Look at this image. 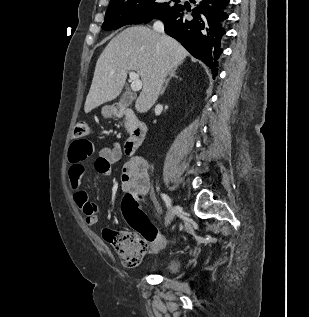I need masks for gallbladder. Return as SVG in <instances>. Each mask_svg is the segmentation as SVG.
Here are the masks:
<instances>
[{"instance_id": "bac80fb5", "label": "gallbladder", "mask_w": 309, "mask_h": 317, "mask_svg": "<svg viewBox=\"0 0 309 317\" xmlns=\"http://www.w3.org/2000/svg\"><path fill=\"white\" fill-rule=\"evenodd\" d=\"M120 102L125 106H129L132 102V97L128 94V93H125L122 95L121 99H120Z\"/></svg>"}]
</instances>
